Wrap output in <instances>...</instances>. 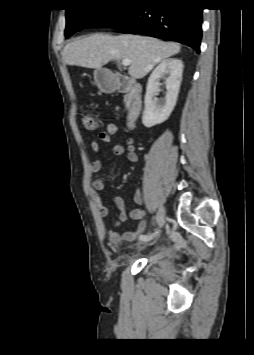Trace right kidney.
Instances as JSON below:
<instances>
[{"mask_svg":"<svg viewBox=\"0 0 254 355\" xmlns=\"http://www.w3.org/2000/svg\"><path fill=\"white\" fill-rule=\"evenodd\" d=\"M183 71V62L180 59L169 58L161 61L149 77L146 94L145 109L142 123L145 127H152L168 119L178 98ZM169 73L166 79V95L164 99H157L156 92L160 86L159 80Z\"/></svg>","mask_w":254,"mask_h":355,"instance_id":"right-kidney-1","label":"right kidney"}]
</instances>
